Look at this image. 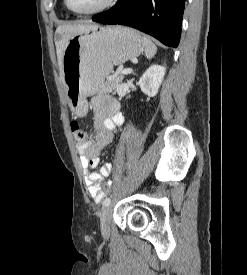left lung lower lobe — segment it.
<instances>
[{"mask_svg": "<svg viewBox=\"0 0 247 275\" xmlns=\"http://www.w3.org/2000/svg\"><path fill=\"white\" fill-rule=\"evenodd\" d=\"M185 0H118L92 18L102 24H120L149 34L176 48L180 41Z\"/></svg>", "mask_w": 247, "mask_h": 275, "instance_id": "left-lung-lower-lobe-1", "label": "left lung lower lobe"}]
</instances>
